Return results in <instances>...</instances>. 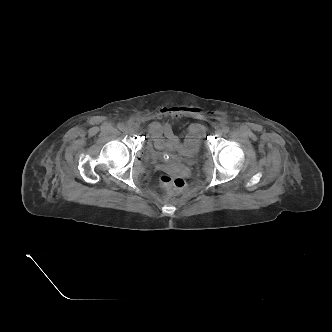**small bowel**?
Segmentation results:
<instances>
[{
	"label": "small bowel",
	"mask_w": 332,
	"mask_h": 332,
	"mask_svg": "<svg viewBox=\"0 0 332 332\" xmlns=\"http://www.w3.org/2000/svg\"><path fill=\"white\" fill-rule=\"evenodd\" d=\"M188 111V109L178 106L164 107L154 114V118H178L182 117ZM147 131L156 149L178 151L184 146L198 144L205 133V128L198 123L191 124L184 130L181 136H178L174 133L171 122L160 123L157 120H153L149 123Z\"/></svg>",
	"instance_id": "obj_1"
}]
</instances>
